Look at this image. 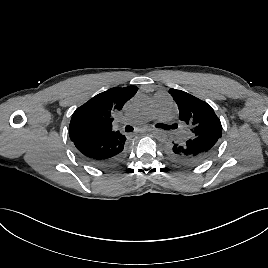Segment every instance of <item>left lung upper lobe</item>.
<instances>
[{
    "label": "left lung upper lobe",
    "instance_id": "obj_1",
    "mask_svg": "<svg viewBox=\"0 0 268 268\" xmlns=\"http://www.w3.org/2000/svg\"><path fill=\"white\" fill-rule=\"evenodd\" d=\"M179 108V118L190 127L192 137L212 135L221 138L222 125L212 107L206 102L177 89H170Z\"/></svg>",
    "mask_w": 268,
    "mask_h": 268
}]
</instances>
